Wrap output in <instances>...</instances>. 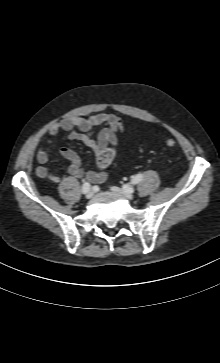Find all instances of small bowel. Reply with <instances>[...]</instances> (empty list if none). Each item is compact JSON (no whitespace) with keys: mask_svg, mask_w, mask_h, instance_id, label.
<instances>
[{"mask_svg":"<svg viewBox=\"0 0 220 363\" xmlns=\"http://www.w3.org/2000/svg\"><path fill=\"white\" fill-rule=\"evenodd\" d=\"M98 126H103V129L94 139L93 132ZM60 131L68 132L69 138L79 140L90 147L95 153L96 164L100 168V171H87L74 150L61 147L59 154L70 162L68 173L75 178L85 177L91 183L105 181L108 177L105 168L109 165L104 161L105 154L108 148L117 145V136L123 131L122 120L114 114L98 113L88 117L75 116L53 124L43 135L42 140L45 146L36 151V159L40 164L48 161L54 137ZM35 172L38 177L46 178L52 183L60 182V177L44 166H38Z\"/></svg>","mask_w":220,"mask_h":363,"instance_id":"1","label":"small bowel"}]
</instances>
